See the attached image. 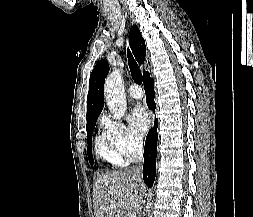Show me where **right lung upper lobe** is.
Instances as JSON below:
<instances>
[{
  "instance_id": "obj_1",
  "label": "right lung upper lobe",
  "mask_w": 253,
  "mask_h": 217,
  "mask_svg": "<svg viewBox=\"0 0 253 217\" xmlns=\"http://www.w3.org/2000/svg\"><path fill=\"white\" fill-rule=\"evenodd\" d=\"M129 43L136 60L143 63L146 56L145 41L136 25L130 28ZM109 72L107 61L101 60L94 67L89 81L87 97V122L97 119L104 105V80ZM148 72H144V76Z\"/></svg>"
}]
</instances>
